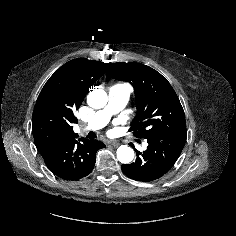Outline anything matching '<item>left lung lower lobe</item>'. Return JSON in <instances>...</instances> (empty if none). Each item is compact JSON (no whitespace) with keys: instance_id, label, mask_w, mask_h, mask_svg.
<instances>
[{"instance_id":"1","label":"left lung lower lobe","mask_w":236,"mask_h":236,"mask_svg":"<svg viewBox=\"0 0 236 236\" xmlns=\"http://www.w3.org/2000/svg\"><path fill=\"white\" fill-rule=\"evenodd\" d=\"M186 138V128L148 138L147 149L142 153L136 150V161L123 164L122 171L129 178L141 182H151L161 178L177 161Z\"/></svg>"}]
</instances>
